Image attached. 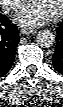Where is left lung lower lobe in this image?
<instances>
[{
  "label": "left lung lower lobe",
  "instance_id": "obj_1",
  "mask_svg": "<svg viewBox=\"0 0 63 107\" xmlns=\"http://www.w3.org/2000/svg\"><path fill=\"white\" fill-rule=\"evenodd\" d=\"M56 49L52 56L55 70L63 75V22L56 29Z\"/></svg>",
  "mask_w": 63,
  "mask_h": 107
}]
</instances>
